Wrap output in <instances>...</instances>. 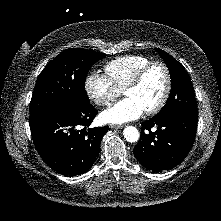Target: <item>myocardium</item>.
I'll list each match as a JSON object with an SVG mask.
<instances>
[{"label": "myocardium", "instance_id": "myocardium-1", "mask_svg": "<svg viewBox=\"0 0 221 221\" xmlns=\"http://www.w3.org/2000/svg\"><path fill=\"white\" fill-rule=\"evenodd\" d=\"M154 66H159L163 69L164 74H165V88L158 103L152 108L145 110V113L147 115H153V114L158 113L165 106L169 98L171 88H172V77H171L170 70L168 66L166 65V63L160 60H152L148 62L134 74V76L131 78V80L128 82V84L124 88V93H126L129 89H132L138 86L140 82L142 81V79L144 78V76L147 74V72Z\"/></svg>", "mask_w": 221, "mask_h": 221}]
</instances>
